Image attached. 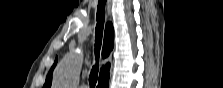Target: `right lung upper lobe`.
<instances>
[{"instance_id": "1", "label": "right lung upper lobe", "mask_w": 223, "mask_h": 88, "mask_svg": "<svg viewBox=\"0 0 223 88\" xmlns=\"http://www.w3.org/2000/svg\"><path fill=\"white\" fill-rule=\"evenodd\" d=\"M114 46V29L113 26L110 22L107 23L106 28H105V36H104V44H103V50H102V57L106 58L109 55V51L113 49ZM57 58L55 60L54 65L50 69V72L46 78L44 88H50L51 83H52V72L53 69L56 65ZM109 64H106L104 67L101 68L100 70V77L99 79L102 78H108L109 77Z\"/></svg>"}]
</instances>
